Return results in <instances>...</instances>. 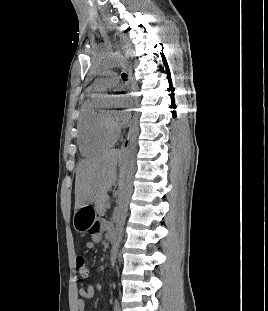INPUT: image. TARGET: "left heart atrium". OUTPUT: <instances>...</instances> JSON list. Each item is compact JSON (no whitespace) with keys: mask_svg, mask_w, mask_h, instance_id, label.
I'll list each match as a JSON object with an SVG mask.
<instances>
[{"mask_svg":"<svg viewBox=\"0 0 268 311\" xmlns=\"http://www.w3.org/2000/svg\"><path fill=\"white\" fill-rule=\"evenodd\" d=\"M115 97L121 98V97H126V96L123 95V94H117V95H115ZM123 104H127V103H125V102H119V103H118V105H123ZM116 117H117V119L120 120V121L126 120V119H127V115L125 114V110H119V111H117Z\"/></svg>","mask_w":268,"mask_h":311,"instance_id":"1","label":"left heart atrium"}]
</instances>
